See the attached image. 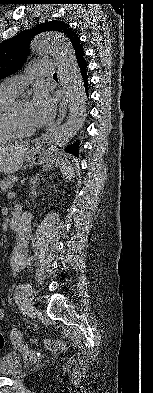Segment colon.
Returning a JSON list of instances; mask_svg holds the SVG:
<instances>
[{
	"mask_svg": "<svg viewBox=\"0 0 153 393\" xmlns=\"http://www.w3.org/2000/svg\"><path fill=\"white\" fill-rule=\"evenodd\" d=\"M36 341V340H35ZM6 338L0 333V350L5 347ZM43 345L46 349L53 353H62L65 350V347L62 343L55 340L46 339L43 341Z\"/></svg>",
	"mask_w": 153,
	"mask_h": 393,
	"instance_id": "5ec220e1",
	"label": "colon"
}]
</instances>
